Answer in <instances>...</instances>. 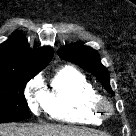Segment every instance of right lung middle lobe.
<instances>
[{"instance_id": "right-lung-middle-lobe-1", "label": "right lung middle lobe", "mask_w": 136, "mask_h": 136, "mask_svg": "<svg viewBox=\"0 0 136 136\" xmlns=\"http://www.w3.org/2000/svg\"><path fill=\"white\" fill-rule=\"evenodd\" d=\"M35 75L12 74L0 76V123L21 121L29 118L24 97L26 83Z\"/></svg>"}]
</instances>
